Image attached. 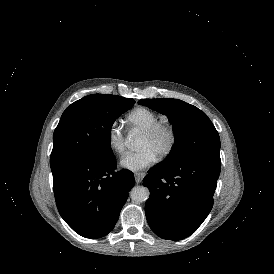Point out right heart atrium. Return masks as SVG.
I'll return each mask as SVG.
<instances>
[{"label":"right heart atrium","instance_id":"1","mask_svg":"<svg viewBox=\"0 0 274 274\" xmlns=\"http://www.w3.org/2000/svg\"><path fill=\"white\" fill-rule=\"evenodd\" d=\"M106 140L108 147L117 153H120L125 148V135L123 129L117 123H112L107 129Z\"/></svg>","mask_w":274,"mask_h":274}]
</instances>
